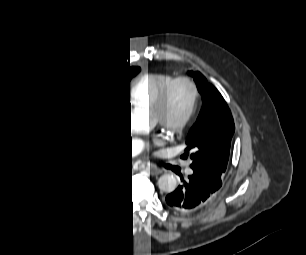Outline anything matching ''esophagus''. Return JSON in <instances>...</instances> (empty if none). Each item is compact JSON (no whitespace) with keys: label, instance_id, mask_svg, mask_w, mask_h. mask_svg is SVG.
I'll use <instances>...</instances> for the list:
<instances>
[{"label":"esophagus","instance_id":"obj_1","mask_svg":"<svg viewBox=\"0 0 306 255\" xmlns=\"http://www.w3.org/2000/svg\"><path fill=\"white\" fill-rule=\"evenodd\" d=\"M150 171H151L152 173H158V172H159V169H157L156 166L152 165V166L150 167Z\"/></svg>","mask_w":306,"mask_h":255}]
</instances>
